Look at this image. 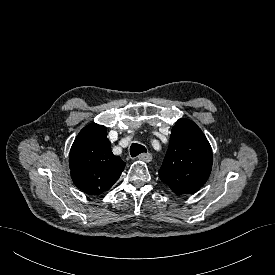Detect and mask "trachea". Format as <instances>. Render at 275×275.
Listing matches in <instances>:
<instances>
[{
  "mask_svg": "<svg viewBox=\"0 0 275 275\" xmlns=\"http://www.w3.org/2000/svg\"><path fill=\"white\" fill-rule=\"evenodd\" d=\"M145 152H147V149L138 143H133L130 147V154L132 157H136L137 155Z\"/></svg>",
  "mask_w": 275,
  "mask_h": 275,
  "instance_id": "trachea-1",
  "label": "trachea"
}]
</instances>
